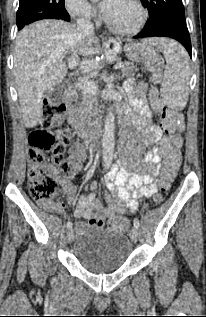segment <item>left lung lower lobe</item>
Wrapping results in <instances>:
<instances>
[{
	"label": "left lung lower lobe",
	"instance_id": "0a47b994",
	"mask_svg": "<svg viewBox=\"0 0 206 317\" xmlns=\"http://www.w3.org/2000/svg\"><path fill=\"white\" fill-rule=\"evenodd\" d=\"M154 36L169 37L179 41L191 56L190 36L186 24L173 21L162 22L153 27L144 29L142 33L134 36L133 38Z\"/></svg>",
	"mask_w": 206,
	"mask_h": 317
}]
</instances>
